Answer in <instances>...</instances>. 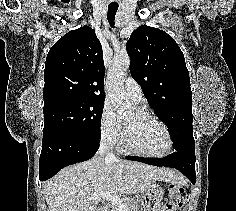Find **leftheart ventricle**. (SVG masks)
I'll return each instance as SVG.
<instances>
[{
	"instance_id": "left-heart-ventricle-1",
	"label": "left heart ventricle",
	"mask_w": 236,
	"mask_h": 211,
	"mask_svg": "<svg viewBox=\"0 0 236 211\" xmlns=\"http://www.w3.org/2000/svg\"><path fill=\"white\" fill-rule=\"evenodd\" d=\"M133 145L146 153L160 154L167 147L164 129L154 120L140 116L134 110L124 119Z\"/></svg>"
}]
</instances>
